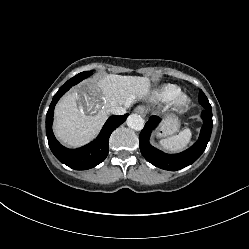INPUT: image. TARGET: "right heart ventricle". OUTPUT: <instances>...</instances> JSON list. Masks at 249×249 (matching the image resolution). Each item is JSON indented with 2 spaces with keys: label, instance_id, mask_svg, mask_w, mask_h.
Masks as SVG:
<instances>
[{
  "label": "right heart ventricle",
  "instance_id": "1",
  "mask_svg": "<svg viewBox=\"0 0 249 249\" xmlns=\"http://www.w3.org/2000/svg\"><path fill=\"white\" fill-rule=\"evenodd\" d=\"M181 94V89L173 84H166L153 93V97L158 102L170 103L175 101Z\"/></svg>",
  "mask_w": 249,
  "mask_h": 249
}]
</instances>
